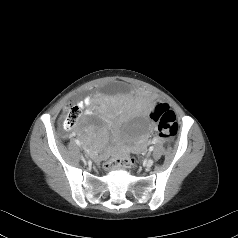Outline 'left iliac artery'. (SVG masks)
Returning <instances> with one entry per match:
<instances>
[{
  "instance_id": "44dca946",
  "label": "left iliac artery",
  "mask_w": 238,
  "mask_h": 238,
  "mask_svg": "<svg viewBox=\"0 0 238 238\" xmlns=\"http://www.w3.org/2000/svg\"><path fill=\"white\" fill-rule=\"evenodd\" d=\"M154 150V146H150L149 147V151L151 152V151H153Z\"/></svg>"
}]
</instances>
